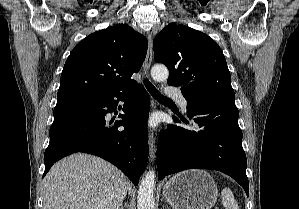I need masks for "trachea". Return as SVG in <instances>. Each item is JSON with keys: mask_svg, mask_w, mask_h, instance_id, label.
<instances>
[{"mask_svg": "<svg viewBox=\"0 0 299 209\" xmlns=\"http://www.w3.org/2000/svg\"><path fill=\"white\" fill-rule=\"evenodd\" d=\"M144 84L149 93L158 101H171L169 98L162 95L149 80L144 79Z\"/></svg>", "mask_w": 299, "mask_h": 209, "instance_id": "3493384b", "label": "trachea"}]
</instances>
